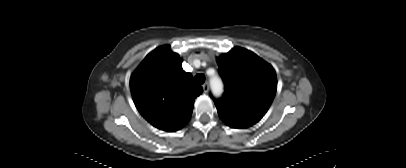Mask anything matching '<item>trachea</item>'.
<instances>
[{
	"label": "trachea",
	"instance_id": "obj_1",
	"mask_svg": "<svg viewBox=\"0 0 406 168\" xmlns=\"http://www.w3.org/2000/svg\"><path fill=\"white\" fill-rule=\"evenodd\" d=\"M195 82L197 83V84H203L204 82H205V76H204V74H197L196 76H195Z\"/></svg>",
	"mask_w": 406,
	"mask_h": 168
}]
</instances>
